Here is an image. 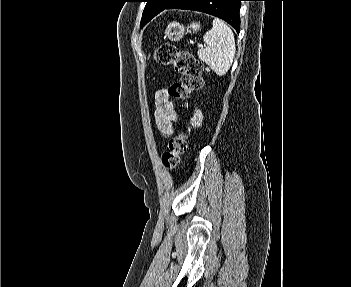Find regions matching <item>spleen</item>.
I'll list each match as a JSON object with an SVG mask.
<instances>
[{"mask_svg":"<svg viewBox=\"0 0 351 287\" xmlns=\"http://www.w3.org/2000/svg\"><path fill=\"white\" fill-rule=\"evenodd\" d=\"M212 25V29L203 36L207 46L199 49L198 57L217 75L222 76L233 63L236 53L235 39L232 30L224 21L215 18Z\"/></svg>","mask_w":351,"mask_h":287,"instance_id":"obj_1","label":"spleen"}]
</instances>
